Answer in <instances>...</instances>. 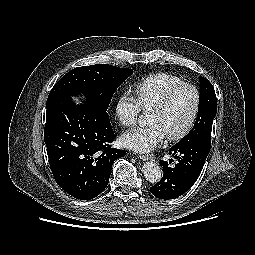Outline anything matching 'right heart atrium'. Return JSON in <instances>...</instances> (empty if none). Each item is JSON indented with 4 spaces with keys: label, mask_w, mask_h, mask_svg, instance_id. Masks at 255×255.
Wrapping results in <instances>:
<instances>
[{
    "label": "right heart atrium",
    "mask_w": 255,
    "mask_h": 255,
    "mask_svg": "<svg viewBox=\"0 0 255 255\" xmlns=\"http://www.w3.org/2000/svg\"><path fill=\"white\" fill-rule=\"evenodd\" d=\"M114 112L119 124L127 127L136 122L141 108L136 98L128 92H122L116 100Z\"/></svg>",
    "instance_id": "d8ad5b80"
}]
</instances>
